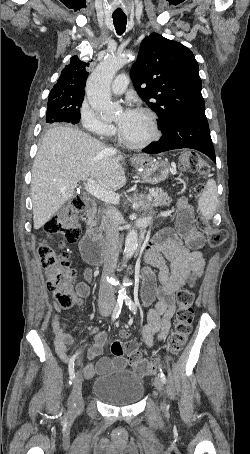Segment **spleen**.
<instances>
[{
    "label": "spleen",
    "instance_id": "spleen-1",
    "mask_svg": "<svg viewBox=\"0 0 250 454\" xmlns=\"http://www.w3.org/2000/svg\"><path fill=\"white\" fill-rule=\"evenodd\" d=\"M218 202L217 186L213 179H209L198 200L199 210L205 220H210L216 212Z\"/></svg>",
    "mask_w": 250,
    "mask_h": 454
}]
</instances>
